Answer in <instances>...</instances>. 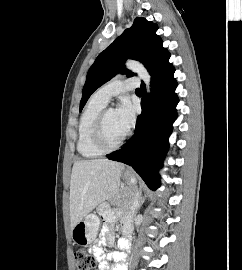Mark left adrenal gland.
Returning a JSON list of instances; mask_svg holds the SVG:
<instances>
[{"label":"left adrenal gland","instance_id":"left-adrenal-gland-1","mask_svg":"<svg viewBox=\"0 0 242 270\" xmlns=\"http://www.w3.org/2000/svg\"><path fill=\"white\" fill-rule=\"evenodd\" d=\"M136 199H137V206L135 208V213L138 212V210L140 209V207L142 206L144 199L141 196V193H137L136 194Z\"/></svg>","mask_w":242,"mask_h":270}]
</instances>
